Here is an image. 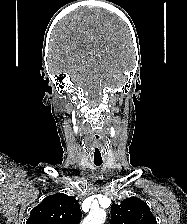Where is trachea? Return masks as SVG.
Wrapping results in <instances>:
<instances>
[{
  "label": "trachea",
  "mask_w": 187,
  "mask_h": 224,
  "mask_svg": "<svg viewBox=\"0 0 187 224\" xmlns=\"http://www.w3.org/2000/svg\"><path fill=\"white\" fill-rule=\"evenodd\" d=\"M94 164H95L96 166H100V165H102V162H94Z\"/></svg>",
  "instance_id": "trachea-1"
}]
</instances>
